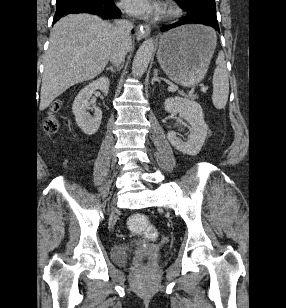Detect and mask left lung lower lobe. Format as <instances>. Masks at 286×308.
<instances>
[{"label": "left lung lower lobe", "instance_id": "left-lung-lower-lobe-1", "mask_svg": "<svg viewBox=\"0 0 286 308\" xmlns=\"http://www.w3.org/2000/svg\"><path fill=\"white\" fill-rule=\"evenodd\" d=\"M177 3L180 8L187 11V16L176 23L161 27V31H167L171 28L184 24H204L212 26L220 32L216 17V7L214 1L199 0L189 3L177 1Z\"/></svg>", "mask_w": 286, "mask_h": 308}]
</instances>
